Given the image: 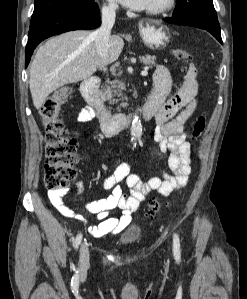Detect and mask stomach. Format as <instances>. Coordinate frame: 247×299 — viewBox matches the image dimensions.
I'll return each instance as SVG.
<instances>
[{
    "label": "stomach",
    "instance_id": "1",
    "mask_svg": "<svg viewBox=\"0 0 247 299\" xmlns=\"http://www.w3.org/2000/svg\"><path fill=\"white\" fill-rule=\"evenodd\" d=\"M144 44L150 49H163L171 39L170 29L159 21H147L139 25Z\"/></svg>",
    "mask_w": 247,
    "mask_h": 299
}]
</instances>
